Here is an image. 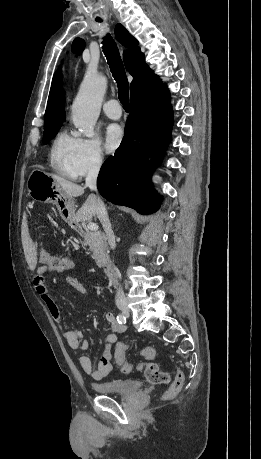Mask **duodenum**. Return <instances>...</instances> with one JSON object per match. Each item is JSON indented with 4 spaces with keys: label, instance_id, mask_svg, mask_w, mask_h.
<instances>
[{
    "label": "duodenum",
    "instance_id": "duodenum-1",
    "mask_svg": "<svg viewBox=\"0 0 261 459\" xmlns=\"http://www.w3.org/2000/svg\"><path fill=\"white\" fill-rule=\"evenodd\" d=\"M103 267L111 280H115L118 277V269L112 260L106 259L103 263Z\"/></svg>",
    "mask_w": 261,
    "mask_h": 459
}]
</instances>
